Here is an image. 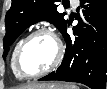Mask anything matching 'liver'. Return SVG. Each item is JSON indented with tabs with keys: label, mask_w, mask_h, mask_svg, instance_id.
Returning a JSON list of instances; mask_svg holds the SVG:
<instances>
[{
	"label": "liver",
	"mask_w": 107,
	"mask_h": 89,
	"mask_svg": "<svg viewBox=\"0 0 107 89\" xmlns=\"http://www.w3.org/2000/svg\"><path fill=\"white\" fill-rule=\"evenodd\" d=\"M47 84L42 83V84H30V85H25L21 87V89H32L34 87H45ZM55 85H60V84H55Z\"/></svg>",
	"instance_id": "liver-1"
}]
</instances>
